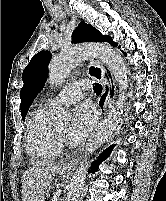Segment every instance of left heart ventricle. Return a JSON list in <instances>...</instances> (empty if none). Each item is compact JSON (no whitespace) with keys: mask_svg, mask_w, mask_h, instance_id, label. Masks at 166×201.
<instances>
[{"mask_svg":"<svg viewBox=\"0 0 166 201\" xmlns=\"http://www.w3.org/2000/svg\"><path fill=\"white\" fill-rule=\"evenodd\" d=\"M56 129L65 135L67 133V124L59 125Z\"/></svg>","mask_w":166,"mask_h":201,"instance_id":"1","label":"left heart ventricle"}]
</instances>
